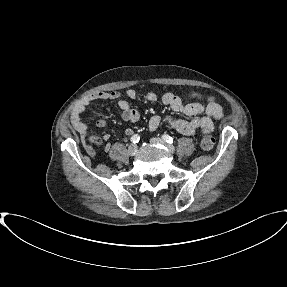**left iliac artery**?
<instances>
[{
    "label": "left iliac artery",
    "instance_id": "left-iliac-artery-1",
    "mask_svg": "<svg viewBox=\"0 0 287 287\" xmlns=\"http://www.w3.org/2000/svg\"><path fill=\"white\" fill-rule=\"evenodd\" d=\"M162 139H164L169 144H172L174 142V139L168 134H163Z\"/></svg>",
    "mask_w": 287,
    "mask_h": 287
}]
</instances>
